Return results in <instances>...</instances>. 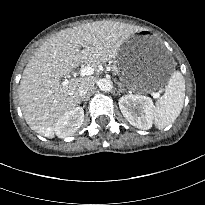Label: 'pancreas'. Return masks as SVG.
Wrapping results in <instances>:
<instances>
[{
    "label": "pancreas",
    "instance_id": "cf45deb5",
    "mask_svg": "<svg viewBox=\"0 0 205 205\" xmlns=\"http://www.w3.org/2000/svg\"><path fill=\"white\" fill-rule=\"evenodd\" d=\"M112 69H113L114 72H115V71L118 72V70H117L116 67H113Z\"/></svg>",
    "mask_w": 205,
    "mask_h": 205
}]
</instances>
